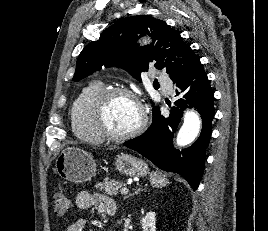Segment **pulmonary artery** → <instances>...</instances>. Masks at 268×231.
<instances>
[{"instance_id":"1","label":"pulmonary artery","mask_w":268,"mask_h":231,"mask_svg":"<svg viewBox=\"0 0 268 231\" xmlns=\"http://www.w3.org/2000/svg\"><path fill=\"white\" fill-rule=\"evenodd\" d=\"M157 78L161 81L164 79V75L163 74H158ZM163 87V91L168 94L171 95L173 93V87L171 83H163L162 84Z\"/></svg>"}]
</instances>
